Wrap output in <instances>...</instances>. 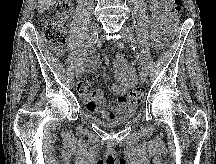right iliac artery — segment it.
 Returning <instances> with one entry per match:
<instances>
[{"mask_svg":"<svg viewBox=\"0 0 216 164\" xmlns=\"http://www.w3.org/2000/svg\"><path fill=\"white\" fill-rule=\"evenodd\" d=\"M97 39H98V34L95 35L93 39L88 40L87 44L85 45L84 50L82 51L81 57H79V61L77 62L78 69L82 68V63L84 62V59H86V55L91 50L93 45L96 43Z\"/></svg>","mask_w":216,"mask_h":164,"instance_id":"1","label":"right iliac artery"}]
</instances>
